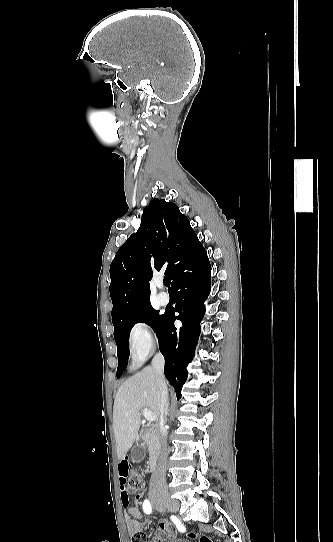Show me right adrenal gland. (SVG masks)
<instances>
[{
  "mask_svg": "<svg viewBox=\"0 0 333 542\" xmlns=\"http://www.w3.org/2000/svg\"><path fill=\"white\" fill-rule=\"evenodd\" d=\"M168 408H169V402H167V404H166V412H167V414H168Z\"/></svg>",
  "mask_w": 333,
  "mask_h": 542,
  "instance_id": "2a0ac1e0",
  "label": "right adrenal gland"
}]
</instances>
